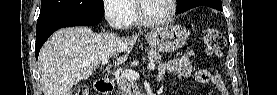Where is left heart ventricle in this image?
<instances>
[{"mask_svg":"<svg viewBox=\"0 0 277 95\" xmlns=\"http://www.w3.org/2000/svg\"><path fill=\"white\" fill-rule=\"evenodd\" d=\"M142 14L149 19H163L170 12L168 0H145L141 5Z\"/></svg>","mask_w":277,"mask_h":95,"instance_id":"b2bd125f","label":"left heart ventricle"}]
</instances>
